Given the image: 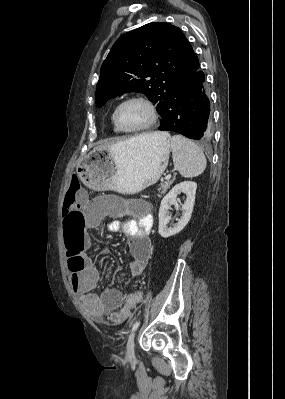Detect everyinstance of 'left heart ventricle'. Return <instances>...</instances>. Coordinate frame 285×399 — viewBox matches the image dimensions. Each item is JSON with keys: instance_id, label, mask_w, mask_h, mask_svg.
Masks as SVG:
<instances>
[{"instance_id": "left-heart-ventricle-1", "label": "left heart ventricle", "mask_w": 285, "mask_h": 399, "mask_svg": "<svg viewBox=\"0 0 285 399\" xmlns=\"http://www.w3.org/2000/svg\"><path fill=\"white\" fill-rule=\"evenodd\" d=\"M150 119L148 107L138 101L127 103L119 113V121L125 128H134L145 124Z\"/></svg>"}]
</instances>
